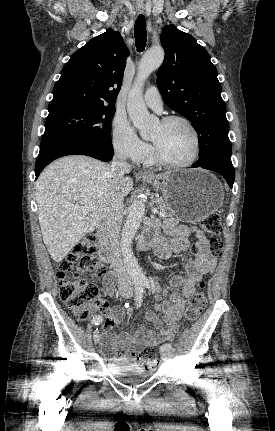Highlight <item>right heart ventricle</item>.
Here are the masks:
<instances>
[{"label": "right heart ventricle", "mask_w": 275, "mask_h": 431, "mask_svg": "<svg viewBox=\"0 0 275 431\" xmlns=\"http://www.w3.org/2000/svg\"><path fill=\"white\" fill-rule=\"evenodd\" d=\"M145 163H146V164H151V163H152L151 158H150V157H147V158L145 159Z\"/></svg>", "instance_id": "obj_1"}]
</instances>
